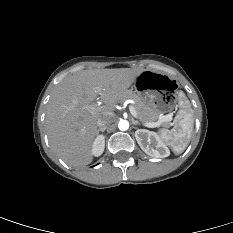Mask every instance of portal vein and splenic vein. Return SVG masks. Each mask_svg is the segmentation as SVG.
Wrapping results in <instances>:
<instances>
[{"instance_id": "portal-vein-and-splenic-vein-1", "label": "portal vein and splenic vein", "mask_w": 233, "mask_h": 233, "mask_svg": "<svg viewBox=\"0 0 233 233\" xmlns=\"http://www.w3.org/2000/svg\"><path fill=\"white\" fill-rule=\"evenodd\" d=\"M96 91L98 93L101 92L100 88H96ZM100 106V102H97V104L93 105L90 107L91 112L96 111ZM129 111L132 114L133 117L137 118V112L135 110V108L132 105H129ZM172 120L171 115H165L163 116L160 120L156 121V122H148V123H144V126L148 127V128H155V127H159L162 123L164 122H170Z\"/></svg>"}]
</instances>
